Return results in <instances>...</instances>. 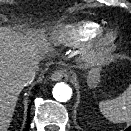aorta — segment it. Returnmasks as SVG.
<instances>
[{
    "instance_id": "762f6f07",
    "label": "aorta",
    "mask_w": 131,
    "mask_h": 131,
    "mask_svg": "<svg viewBox=\"0 0 131 131\" xmlns=\"http://www.w3.org/2000/svg\"><path fill=\"white\" fill-rule=\"evenodd\" d=\"M53 97L59 102H66L72 96V89L69 85L60 82L53 87Z\"/></svg>"
}]
</instances>
